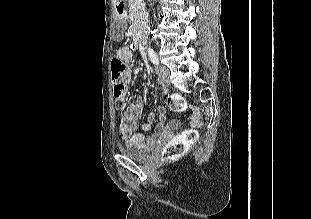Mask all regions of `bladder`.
I'll use <instances>...</instances> for the list:
<instances>
[{
    "label": "bladder",
    "instance_id": "bladder-1",
    "mask_svg": "<svg viewBox=\"0 0 311 219\" xmlns=\"http://www.w3.org/2000/svg\"><path fill=\"white\" fill-rule=\"evenodd\" d=\"M118 150L121 155L132 160H145L152 152V149L145 145L120 146Z\"/></svg>",
    "mask_w": 311,
    "mask_h": 219
}]
</instances>
